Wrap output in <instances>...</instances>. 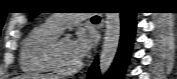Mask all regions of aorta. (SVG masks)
<instances>
[{
  "mask_svg": "<svg viewBox=\"0 0 177 79\" xmlns=\"http://www.w3.org/2000/svg\"><path fill=\"white\" fill-rule=\"evenodd\" d=\"M120 34V13H106L105 37L99 60V69L101 75H105L113 63L119 46Z\"/></svg>",
  "mask_w": 177,
  "mask_h": 79,
  "instance_id": "aorta-1",
  "label": "aorta"
}]
</instances>
